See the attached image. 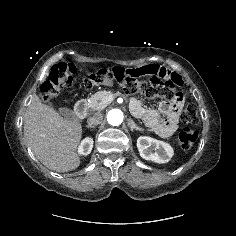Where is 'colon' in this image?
Wrapping results in <instances>:
<instances>
[{"mask_svg":"<svg viewBox=\"0 0 236 236\" xmlns=\"http://www.w3.org/2000/svg\"><path fill=\"white\" fill-rule=\"evenodd\" d=\"M122 67H113L110 69H98L85 77L79 88L88 90L95 86L109 85L112 83L120 84L129 94L142 93L147 98H160L170 104H179L183 99L182 95L172 80L163 81L153 77L146 82H140L137 79L131 81H119L115 78L114 73ZM76 69L70 63H59L52 67L47 79L41 86L44 100L51 101L62 90L73 92L77 86L75 83ZM181 120L185 124H195L198 121V109L195 105H188L181 115ZM198 138L197 132L190 128L184 127L179 134V143L183 150H189Z\"/></svg>","mask_w":236,"mask_h":236,"instance_id":"colon-1","label":"colon"}]
</instances>
